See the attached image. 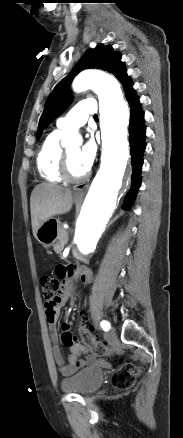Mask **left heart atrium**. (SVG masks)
I'll return each mask as SVG.
<instances>
[{"instance_id": "39dd6f15", "label": "left heart atrium", "mask_w": 183, "mask_h": 438, "mask_svg": "<svg viewBox=\"0 0 183 438\" xmlns=\"http://www.w3.org/2000/svg\"><path fill=\"white\" fill-rule=\"evenodd\" d=\"M96 152L97 145L93 139L87 141V143L80 149V160L87 171L95 160Z\"/></svg>"}]
</instances>
